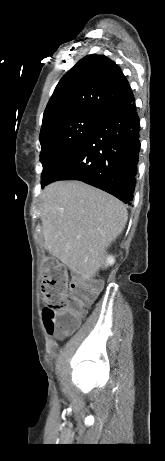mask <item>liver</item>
Here are the masks:
<instances>
[{
    "instance_id": "1",
    "label": "liver",
    "mask_w": 165,
    "mask_h": 461,
    "mask_svg": "<svg viewBox=\"0 0 165 461\" xmlns=\"http://www.w3.org/2000/svg\"><path fill=\"white\" fill-rule=\"evenodd\" d=\"M41 198L45 248L83 278L95 276L126 225V206L79 181L52 183Z\"/></svg>"
}]
</instances>
